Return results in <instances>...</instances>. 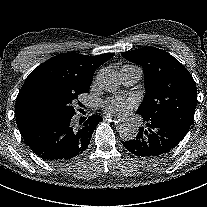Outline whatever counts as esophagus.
<instances>
[{"label":"esophagus","instance_id":"esophagus-1","mask_svg":"<svg viewBox=\"0 0 207 207\" xmlns=\"http://www.w3.org/2000/svg\"><path fill=\"white\" fill-rule=\"evenodd\" d=\"M104 118L108 120V125L110 127H116L118 125V120L112 116L105 115Z\"/></svg>","mask_w":207,"mask_h":207}]
</instances>
